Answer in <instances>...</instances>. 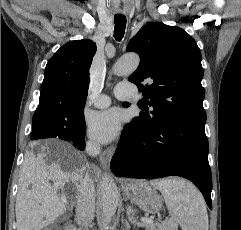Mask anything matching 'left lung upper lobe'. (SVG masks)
Segmentation results:
<instances>
[{"label": "left lung upper lobe", "mask_w": 241, "mask_h": 230, "mask_svg": "<svg viewBox=\"0 0 241 230\" xmlns=\"http://www.w3.org/2000/svg\"><path fill=\"white\" fill-rule=\"evenodd\" d=\"M127 51L140 56L129 81L143 91L145 106L153 107L150 113L140 112L138 122L149 130L166 120L205 125L201 52L185 30L149 23L130 40Z\"/></svg>", "instance_id": "1"}]
</instances>
